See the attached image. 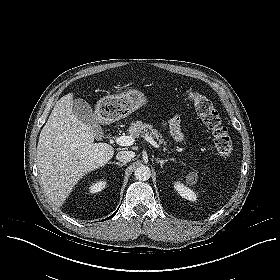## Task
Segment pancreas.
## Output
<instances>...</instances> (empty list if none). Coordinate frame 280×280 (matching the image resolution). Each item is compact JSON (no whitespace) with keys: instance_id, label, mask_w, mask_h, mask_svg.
<instances>
[{"instance_id":"obj_1","label":"pancreas","mask_w":280,"mask_h":280,"mask_svg":"<svg viewBox=\"0 0 280 280\" xmlns=\"http://www.w3.org/2000/svg\"><path fill=\"white\" fill-rule=\"evenodd\" d=\"M130 136L133 138L150 136L157 139L160 143L166 145V141L162 138V134L154 129L152 125L143 123L141 121L132 122L128 130Z\"/></svg>"}]
</instances>
